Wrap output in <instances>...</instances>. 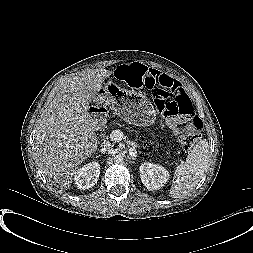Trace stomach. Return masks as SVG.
<instances>
[{"instance_id":"obj_1","label":"stomach","mask_w":253,"mask_h":253,"mask_svg":"<svg viewBox=\"0 0 253 253\" xmlns=\"http://www.w3.org/2000/svg\"><path fill=\"white\" fill-rule=\"evenodd\" d=\"M94 102L110 105L114 114L136 126H150L156 119V112L146 97L128 92L111 82L99 90Z\"/></svg>"}]
</instances>
